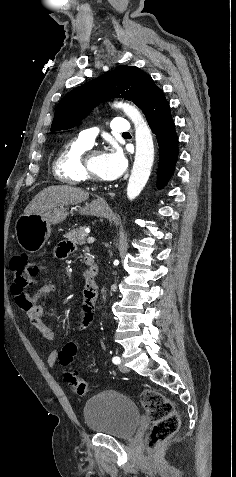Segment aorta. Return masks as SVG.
I'll use <instances>...</instances> for the list:
<instances>
[{
    "mask_svg": "<svg viewBox=\"0 0 236 477\" xmlns=\"http://www.w3.org/2000/svg\"><path fill=\"white\" fill-rule=\"evenodd\" d=\"M131 119L135 126L136 153L127 185V197L135 199L146 185L154 161V143L151 130L139 110L129 103H115Z\"/></svg>",
    "mask_w": 236,
    "mask_h": 477,
    "instance_id": "1",
    "label": "aorta"
}]
</instances>
